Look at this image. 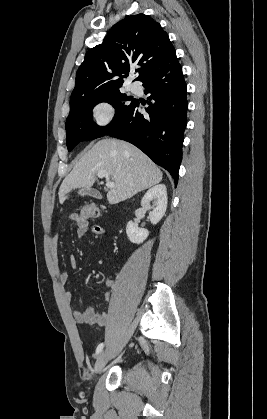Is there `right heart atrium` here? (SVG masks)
<instances>
[{
    "mask_svg": "<svg viewBox=\"0 0 267 419\" xmlns=\"http://www.w3.org/2000/svg\"><path fill=\"white\" fill-rule=\"evenodd\" d=\"M92 115L99 127H105L113 120L114 108L111 103L100 101L92 107Z\"/></svg>",
    "mask_w": 267,
    "mask_h": 419,
    "instance_id": "d8ad5b80",
    "label": "right heart atrium"
}]
</instances>
